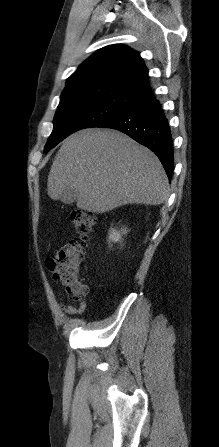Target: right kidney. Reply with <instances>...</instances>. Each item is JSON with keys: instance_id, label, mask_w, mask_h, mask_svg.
<instances>
[{"instance_id": "1", "label": "right kidney", "mask_w": 219, "mask_h": 447, "mask_svg": "<svg viewBox=\"0 0 219 447\" xmlns=\"http://www.w3.org/2000/svg\"><path fill=\"white\" fill-rule=\"evenodd\" d=\"M126 233H127L126 228H125V229H121L120 231L111 229V230L109 231V240H110V241H113V242L120 241V240H121V236H122L123 234H126Z\"/></svg>"}]
</instances>
